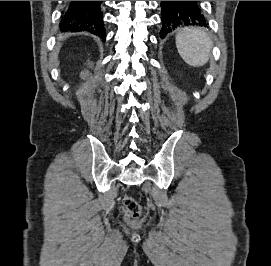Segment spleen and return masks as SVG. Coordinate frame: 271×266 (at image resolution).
<instances>
[{
	"instance_id": "3e777b00",
	"label": "spleen",
	"mask_w": 271,
	"mask_h": 266,
	"mask_svg": "<svg viewBox=\"0 0 271 266\" xmlns=\"http://www.w3.org/2000/svg\"><path fill=\"white\" fill-rule=\"evenodd\" d=\"M176 47L179 55L188 65L201 67L209 60L212 40L201 28H184L176 35Z\"/></svg>"
}]
</instances>
